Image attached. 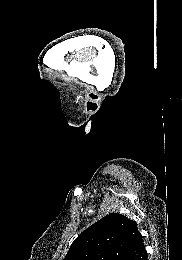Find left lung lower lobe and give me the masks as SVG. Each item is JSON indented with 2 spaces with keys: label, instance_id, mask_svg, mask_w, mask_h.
Returning a JSON list of instances; mask_svg holds the SVG:
<instances>
[{
  "label": "left lung lower lobe",
  "instance_id": "1",
  "mask_svg": "<svg viewBox=\"0 0 182 260\" xmlns=\"http://www.w3.org/2000/svg\"><path fill=\"white\" fill-rule=\"evenodd\" d=\"M147 257L142 236L139 234L122 260H147Z\"/></svg>",
  "mask_w": 182,
  "mask_h": 260
}]
</instances>
